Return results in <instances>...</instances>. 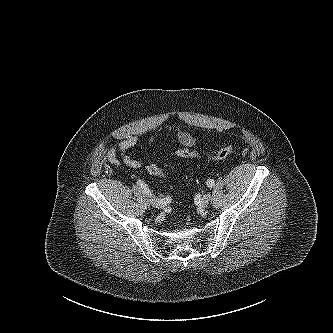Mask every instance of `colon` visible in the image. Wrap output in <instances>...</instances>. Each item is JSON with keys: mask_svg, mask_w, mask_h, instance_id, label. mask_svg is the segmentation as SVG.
<instances>
[{"mask_svg": "<svg viewBox=\"0 0 333 333\" xmlns=\"http://www.w3.org/2000/svg\"><path fill=\"white\" fill-rule=\"evenodd\" d=\"M235 151V148L233 146H226L221 148L220 150L211 153L207 155V158L209 159H224L230 155H232ZM177 156L181 158H200L202 155H200L197 151L190 150V149H180L176 152ZM147 171L150 175L157 176V177H164L165 172L162 168L158 167L155 164H150L147 166Z\"/></svg>", "mask_w": 333, "mask_h": 333, "instance_id": "obj_1", "label": "colon"}]
</instances>
